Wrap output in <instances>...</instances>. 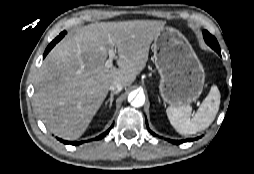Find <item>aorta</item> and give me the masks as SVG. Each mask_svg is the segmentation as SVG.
<instances>
[{"label": "aorta", "instance_id": "1", "mask_svg": "<svg viewBox=\"0 0 254 174\" xmlns=\"http://www.w3.org/2000/svg\"><path fill=\"white\" fill-rule=\"evenodd\" d=\"M128 100L133 107H141L145 103V95L141 92H131L128 96Z\"/></svg>", "mask_w": 254, "mask_h": 174}]
</instances>
